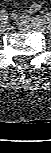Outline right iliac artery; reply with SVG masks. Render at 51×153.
<instances>
[{"instance_id": "1", "label": "right iliac artery", "mask_w": 51, "mask_h": 153, "mask_svg": "<svg viewBox=\"0 0 51 153\" xmlns=\"http://www.w3.org/2000/svg\"><path fill=\"white\" fill-rule=\"evenodd\" d=\"M0 21H1V23L3 24V23H7V21H8V15H7V12H6V10H1V12H0Z\"/></svg>"}]
</instances>
